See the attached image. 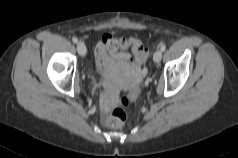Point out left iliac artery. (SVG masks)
Instances as JSON below:
<instances>
[{
	"label": "left iliac artery",
	"instance_id": "obj_1",
	"mask_svg": "<svg viewBox=\"0 0 238 158\" xmlns=\"http://www.w3.org/2000/svg\"><path fill=\"white\" fill-rule=\"evenodd\" d=\"M165 49H166V45L162 44V45H161V51L164 52Z\"/></svg>",
	"mask_w": 238,
	"mask_h": 158
}]
</instances>
